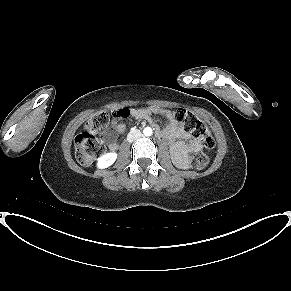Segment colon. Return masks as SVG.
<instances>
[{
    "mask_svg": "<svg viewBox=\"0 0 291 291\" xmlns=\"http://www.w3.org/2000/svg\"><path fill=\"white\" fill-rule=\"evenodd\" d=\"M117 117L127 118L130 114L128 109H120L113 113ZM174 118L179 126L186 132L195 135L200 143L207 149L215 145V140L208 130L207 125L192 112L180 108L173 112ZM111 119L107 112L95 114L84 125L83 131L75 139L76 158L82 166H90L105 151V146L97 139V136L104 133ZM208 155L199 152L190 157V165L197 170L205 168L208 164Z\"/></svg>",
    "mask_w": 291,
    "mask_h": 291,
    "instance_id": "colon-1",
    "label": "colon"
}]
</instances>
